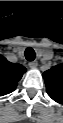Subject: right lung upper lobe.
I'll return each mask as SVG.
<instances>
[{
    "instance_id": "cb5924a9",
    "label": "right lung upper lobe",
    "mask_w": 63,
    "mask_h": 123,
    "mask_svg": "<svg viewBox=\"0 0 63 123\" xmlns=\"http://www.w3.org/2000/svg\"><path fill=\"white\" fill-rule=\"evenodd\" d=\"M0 62V95H5L16 89L18 81L26 72V68L21 64L11 63L4 57Z\"/></svg>"
}]
</instances>
